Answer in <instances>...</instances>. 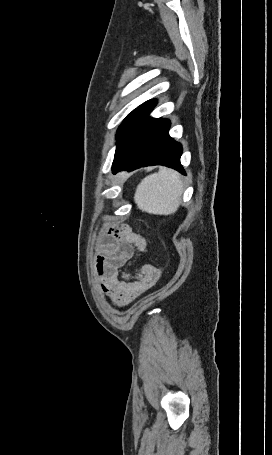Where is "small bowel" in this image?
Returning <instances> with one entry per match:
<instances>
[{
  "instance_id": "small-bowel-1",
  "label": "small bowel",
  "mask_w": 272,
  "mask_h": 455,
  "mask_svg": "<svg viewBox=\"0 0 272 455\" xmlns=\"http://www.w3.org/2000/svg\"><path fill=\"white\" fill-rule=\"evenodd\" d=\"M135 250L142 254L147 252L144 238L124 226L110 227L96 260L102 289L119 307L131 303L155 285L160 277L159 269L152 264L143 265L135 276L121 270Z\"/></svg>"
}]
</instances>
